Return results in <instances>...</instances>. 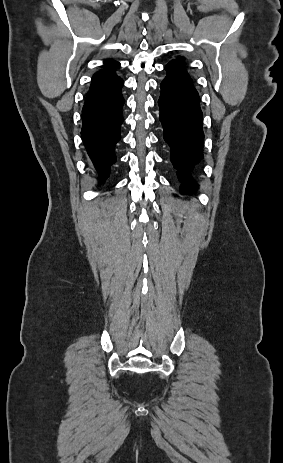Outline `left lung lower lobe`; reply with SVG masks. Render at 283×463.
<instances>
[{
	"mask_svg": "<svg viewBox=\"0 0 283 463\" xmlns=\"http://www.w3.org/2000/svg\"><path fill=\"white\" fill-rule=\"evenodd\" d=\"M167 76L161 83L158 101L164 140L171 148V162L179 177L181 192L196 191L190 172L203 158L202 112L199 95L185 66L177 61L169 62Z\"/></svg>",
	"mask_w": 283,
	"mask_h": 463,
	"instance_id": "obj_1",
	"label": "left lung lower lobe"
}]
</instances>
